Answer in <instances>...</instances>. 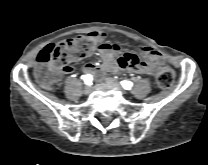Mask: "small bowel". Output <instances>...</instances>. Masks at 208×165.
I'll return each mask as SVG.
<instances>
[{
  "mask_svg": "<svg viewBox=\"0 0 208 165\" xmlns=\"http://www.w3.org/2000/svg\"><path fill=\"white\" fill-rule=\"evenodd\" d=\"M95 40L96 50L100 54L103 62L100 67H97L94 63H87L84 69L87 72L94 74H100L102 72L115 71L121 69L131 73L137 74H147L155 75L159 68V61L161 59L160 54L151 47H141L140 54L143 60L134 53H129L131 55L128 60L124 57L126 53L122 54L117 59V54L120 52V47L117 44H111L104 42L107 33L103 30H96L89 34ZM77 71V66L75 64H68L63 67V72L65 74L75 73Z\"/></svg>",
  "mask_w": 208,
  "mask_h": 165,
  "instance_id": "1",
  "label": "small bowel"
}]
</instances>
